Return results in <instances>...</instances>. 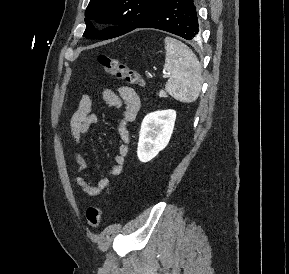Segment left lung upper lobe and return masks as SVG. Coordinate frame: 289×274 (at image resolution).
<instances>
[{
	"label": "left lung upper lobe",
	"mask_w": 289,
	"mask_h": 274,
	"mask_svg": "<svg viewBox=\"0 0 289 274\" xmlns=\"http://www.w3.org/2000/svg\"><path fill=\"white\" fill-rule=\"evenodd\" d=\"M165 0H90L85 12L88 39H111L121 36L139 26ZM90 20L112 23L115 26L98 31Z\"/></svg>",
	"instance_id": "5c2ea615"
}]
</instances>
